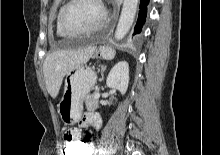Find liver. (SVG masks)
<instances>
[{
	"instance_id": "liver-1",
	"label": "liver",
	"mask_w": 220,
	"mask_h": 155,
	"mask_svg": "<svg viewBox=\"0 0 220 155\" xmlns=\"http://www.w3.org/2000/svg\"><path fill=\"white\" fill-rule=\"evenodd\" d=\"M95 51V47L78 50H57L47 55L43 64V74L48 93L58 96L63 78L85 64Z\"/></svg>"
}]
</instances>
